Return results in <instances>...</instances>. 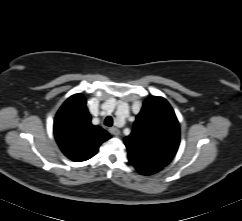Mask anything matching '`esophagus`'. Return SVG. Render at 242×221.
<instances>
[{"label":"esophagus","mask_w":242,"mask_h":221,"mask_svg":"<svg viewBox=\"0 0 242 221\" xmlns=\"http://www.w3.org/2000/svg\"><path fill=\"white\" fill-rule=\"evenodd\" d=\"M109 132H110L111 134L115 135V136H118V135L120 134V130L117 129V128H115V127H111V128L109 129Z\"/></svg>","instance_id":"esophagus-1"}]
</instances>
